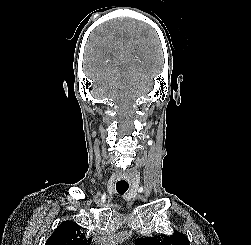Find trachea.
<instances>
[{
	"label": "trachea",
	"instance_id": "3493384b",
	"mask_svg": "<svg viewBox=\"0 0 251 245\" xmlns=\"http://www.w3.org/2000/svg\"><path fill=\"white\" fill-rule=\"evenodd\" d=\"M129 188V184L125 181H119L116 183V190L119 194H124Z\"/></svg>",
	"mask_w": 251,
	"mask_h": 245
}]
</instances>
